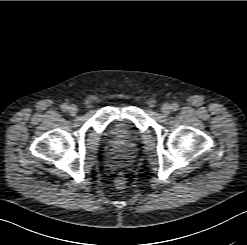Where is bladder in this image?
Wrapping results in <instances>:
<instances>
[{
	"mask_svg": "<svg viewBox=\"0 0 247 245\" xmlns=\"http://www.w3.org/2000/svg\"><path fill=\"white\" fill-rule=\"evenodd\" d=\"M134 136V132L122 121L113 123L109 130V137L113 141L129 142Z\"/></svg>",
	"mask_w": 247,
	"mask_h": 245,
	"instance_id": "31cf9c89",
	"label": "bladder"
}]
</instances>
